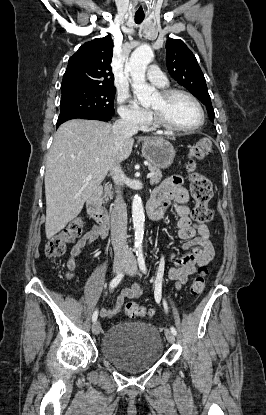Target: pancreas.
Here are the masks:
<instances>
[{
	"label": "pancreas",
	"instance_id": "pancreas-1",
	"mask_svg": "<svg viewBox=\"0 0 266 415\" xmlns=\"http://www.w3.org/2000/svg\"><path fill=\"white\" fill-rule=\"evenodd\" d=\"M148 169L151 173H154V175L150 178V184L151 185L159 184V182L161 181V178H162V173H161L160 169H158V168H156L152 165H148ZM106 196H107V198L105 199L106 201L108 200V197L112 198V191L110 189H108L106 191Z\"/></svg>",
	"mask_w": 266,
	"mask_h": 415
}]
</instances>
